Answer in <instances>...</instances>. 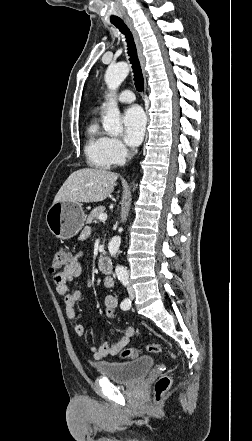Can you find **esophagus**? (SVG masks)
Here are the masks:
<instances>
[{
    "label": "esophagus",
    "mask_w": 252,
    "mask_h": 441,
    "mask_svg": "<svg viewBox=\"0 0 252 441\" xmlns=\"http://www.w3.org/2000/svg\"><path fill=\"white\" fill-rule=\"evenodd\" d=\"M125 22H126L128 28L130 29V31H131L133 37H134V41H135L136 48H137L138 58H139V61H140V64H141V67H142L143 73H145V69H144V68H145V59H144V56H143V53H142V43H141V41H140V38H139L138 32H137V30L135 29V27H134L133 22H132L131 19H129V18H125ZM146 90H147V85H146V82H145V91H146Z\"/></svg>",
    "instance_id": "esophagus-1"
}]
</instances>
